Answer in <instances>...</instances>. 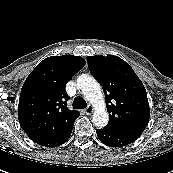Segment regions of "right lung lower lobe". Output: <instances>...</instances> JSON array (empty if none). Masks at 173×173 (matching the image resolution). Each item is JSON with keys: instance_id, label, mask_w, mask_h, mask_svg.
Masks as SVG:
<instances>
[{"instance_id": "98d812e1", "label": "right lung lower lobe", "mask_w": 173, "mask_h": 173, "mask_svg": "<svg viewBox=\"0 0 173 173\" xmlns=\"http://www.w3.org/2000/svg\"><path fill=\"white\" fill-rule=\"evenodd\" d=\"M73 125L74 121L70 125L66 126L58 135L41 142L40 145L45 147H56L65 143L71 136Z\"/></svg>"}]
</instances>
